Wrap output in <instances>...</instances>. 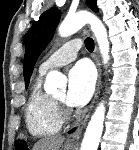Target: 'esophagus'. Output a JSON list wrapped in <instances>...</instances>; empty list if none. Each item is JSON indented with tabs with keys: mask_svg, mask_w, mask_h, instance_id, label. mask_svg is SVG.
<instances>
[{
	"mask_svg": "<svg viewBox=\"0 0 139 150\" xmlns=\"http://www.w3.org/2000/svg\"><path fill=\"white\" fill-rule=\"evenodd\" d=\"M94 60H95V63H96L97 69H98V80H97V87H96L94 99H93L92 104L90 106L89 112L86 115H84L79 127L76 129V131H74L66 139V144H68V145H75L80 140L83 129L86 126V123L90 117L91 111H92V109H93V107H94V105L98 99L99 93H100V89H101V63H100L99 54H98V47H97L96 43H95V49H94Z\"/></svg>",
	"mask_w": 139,
	"mask_h": 150,
	"instance_id": "1",
	"label": "esophagus"
}]
</instances>
